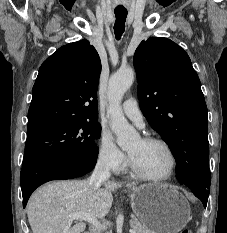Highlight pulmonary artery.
<instances>
[{"instance_id":"obj_1","label":"pulmonary artery","mask_w":227,"mask_h":233,"mask_svg":"<svg viewBox=\"0 0 227 233\" xmlns=\"http://www.w3.org/2000/svg\"><path fill=\"white\" fill-rule=\"evenodd\" d=\"M122 109L125 115L134 122L138 127H144L143 114L138 106L137 101L134 98H128L122 104Z\"/></svg>"}]
</instances>
